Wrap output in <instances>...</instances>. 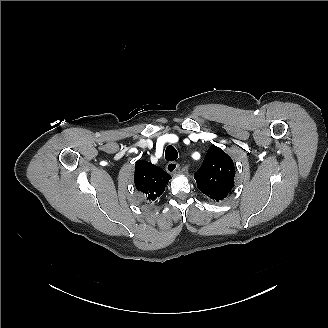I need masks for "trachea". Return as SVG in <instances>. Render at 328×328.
Masks as SVG:
<instances>
[{"label": "trachea", "mask_w": 328, "mask_h": 328, "mask_svg": "<svg viewBox=\"0 0 328 328\" xmlns=\"http://www.w3.org/2000/svg\"><path fill=\"white\" fill-rule=\"evenodd\" d=\"M178 158V152L175 147L169 145L165 150V159L167 161H175Z\"/></svg>", "instance_id": "3493384b"}]
</instances>
